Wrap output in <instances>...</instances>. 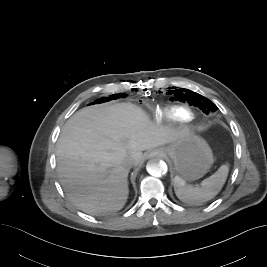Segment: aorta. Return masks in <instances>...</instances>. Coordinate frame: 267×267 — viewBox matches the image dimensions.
Masks as SVG:
<instances>
[{
  "label": "aorta",
  "instance_id": "obj_1",
  "mask_svg": "<svg viewBox=\"0 0 267 267\" xmlns=\"http://www.w3.org/2000/svg\"><path fill=\"white\" fill-rule=\"evenodd\" d=\"M167 169V164L158 158L149 160L146 165L147 172L154 177L164 175L167 172Z\"/></svg>",
  "mask_w": 267,
  "mask_h": 267
}]
</instances>
